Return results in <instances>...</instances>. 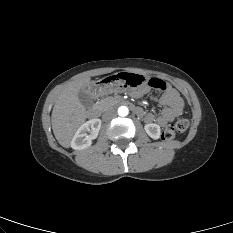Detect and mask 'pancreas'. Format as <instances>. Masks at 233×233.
<instances>
[{
    "label": "pancreas",
    "mask_w": 233,
    "mask_h": 233,
    "mask_svg": "<svg viewBox=\"0 0 233 233\" xmlns=\"http://www.w3.org/2000/svg\"><path fill=\"white\" fill-rule=\"evenodd\" d=\"M114 104H115L114 98L107 97V98L100 100L97 105L106 109V108L112 107Z\"/></svg>",
    "instance_id": "obj_1"
}]
</instances>
